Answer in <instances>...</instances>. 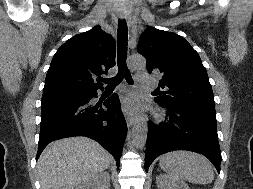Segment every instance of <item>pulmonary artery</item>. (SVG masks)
<instances>
[{
  "label": "pulmonary artery",
  "mask_w": 253,
  "mask_h": 189,
  "mask_svg": "<svg viewBox=\"0 0 253 189\" xmlns=\"http://www.w3.org/2000/svg\"><path fill=\"white\" fill-rule=\"evenodd\" d=\"M137 81L142 87H149L153 85V77L149 74H139Z\"/></svg>",
  "instance_id": "e3ab8cb5"
}]
</instances>
